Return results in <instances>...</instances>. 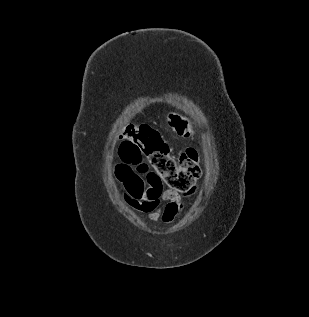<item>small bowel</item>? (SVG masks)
Wrapping results in <instances>:
<instances>
[{
    "mask_svg": "<svg viewBox=\"0 0 309 317\" xmlns=\"http://www.w3.org/2000/svg\"><path fill=\"white\" fill-rule=\"evenodd\" d=\"M120 160L114 166V174L124 187V201L135 211L144 213L152 223H172L181 213L184 198L194 189L181 195L172 190H163L158 175L149 170L144 161L132 163L124 159L119 150Z\"/></svg>",
    "mask_w": 309,
    "mask_h": 317,
    "instance_id": "c3829d8e",
    "label": "small bowel"
}]
</instances>
